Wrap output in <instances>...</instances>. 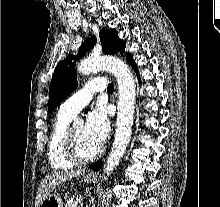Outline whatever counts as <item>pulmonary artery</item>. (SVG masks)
Returning <instances> with one entry per match:
<instances>
[{
    "label": "pulmonary artery",
    "instance_id": "pulmonary-artery-1",
    "mask_svg": "<svg viewBox=\"0 0 220 207\" xmlns=\"http://www.w3.org/2000/svg\"><path fill=\"white\" fill-rule=\"evenodd\" d=\"M105 88L106 80L103 77L88 81L80 90L61 104L59 112L72 117L76 116L91 101L94 93L103 91Z\"/></svg>",
    "mask_w": 220,
    "mask_h": 207
}]
</instances>
